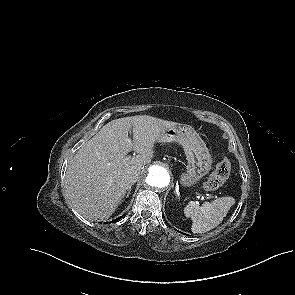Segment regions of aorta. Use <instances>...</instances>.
<instances>
[{
  "label": "aorta",
  "instance_id": "aorta-1",
  "mask_svg": "<svg viewBox=\"0 0 295 295\" xmlns=\"http://www.w3.org/2000/svg\"><path fill=\"white\" fill-rule=\"evenodd\" d=\"M170 174L161 165H152L148 168L145 183L150 189H163L169 185Z\"/></svg>",
  "mask_w": 295,
  "mask_h": 295
}]
</instances>
